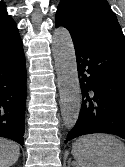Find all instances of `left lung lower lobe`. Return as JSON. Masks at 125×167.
Here are the masks:
<instances>
[{"instance_id":"left-lung-lower-lobe-1","label":"left lung lower lobe","mask_w":125,"mask_h":167,"mask_svg":"<svg viewBox=\"0 0 125 167\" xmlns=\"http://www.w3.org/2000/svg\"><path fill=\"white\" fill-rule=\"evenodd\" d=\"M72 39L82 106L65 143L92 133L125 139V44L110 36Z\"/></svg>"}]
</instances>
